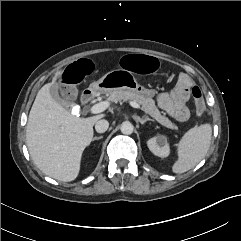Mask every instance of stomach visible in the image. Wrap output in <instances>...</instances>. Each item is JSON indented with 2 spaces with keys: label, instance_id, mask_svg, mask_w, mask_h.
<instances>
[{
  "label": "stomach",
  "instance_id": "1",
  "mask_svg": "<svg viewBox=\"0 0 241 241\" xmlns=\"http://www.w3.org/2000/svg\"><path fill=\"white\" fill-rule=\"evenodd\" d=\"M90 89L93 92H105L109 93L119 89L129 90L131 92L153 97L156 91L146 89L141 86L132 71H126L120 69L112 70L106 73L98 81L90 84Z\"/></svg>",
  "mask_w": 241,
  "mask_h": 241
}]
</instances>
